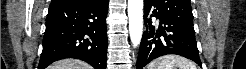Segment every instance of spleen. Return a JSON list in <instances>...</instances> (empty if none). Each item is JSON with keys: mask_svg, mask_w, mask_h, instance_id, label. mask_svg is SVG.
I'll list each match as a JSON object with an SVG mask.
<instances>
[{"mask_svg": "<svg viewBox=\"0 0 246 69\" xmlns=\"http://www.w3.org/2000/svg\"><path fill=\"white\" fill-rule=\"evenodd\" d=\"M149 69H197L196 65L184 57L166 55L153 61Z\"/></svg>", "mask_w": 246, "mask_h": 69, "instance_id": "spleen-1", "label": "spleen"}]
</instances>
